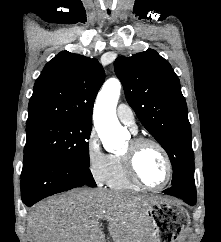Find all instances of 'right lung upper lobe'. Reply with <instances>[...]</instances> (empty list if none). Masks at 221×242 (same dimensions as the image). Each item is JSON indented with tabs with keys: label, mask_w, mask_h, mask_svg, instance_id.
<instances>
[{
	"label": "right lung upper lobe",
	"mask_w": 221,
	"mask_h": 242,
	"mask_svg": "<svg viewBox=\"0 0 221 242\" xmlns=\"http://www.w3.org/2000/svg\"><path fill=\"white\" fill-rule=\"evenodd\" d=\"M104 80L97 59L60 52L35 82L26 125L64 120L92 122L93 104Z\"/></svg>",
	"instance_id": "obj_1"
}]
</instances>
